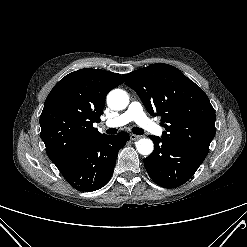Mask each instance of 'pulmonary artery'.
Returning a JSON list of instances; mask_svg holds the SVG:
<instances>
[{
    "label": "pulmonary artery",
    "mask_w": 247,
    "mask_h": 247,
    "mask_svg": "<svg viewBox=\"0 0 247 247\" xmlns=\"http://www.w3.org/2000/svg\"><path fill=\"white\" fill-rule=\"evenodd\" d=\"M131 121H135L139 126L155 135H161L162 129L150 120L143 111L141 104L133 101L128 109L116 118L107 120L106 127H120Z\"/></svg>",
    "instance_id": "obj_1"
}]
</instances>
